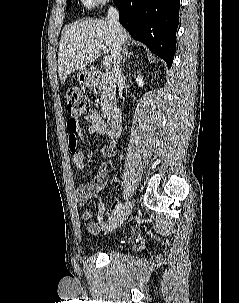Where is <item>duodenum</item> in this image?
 <instances>
[{
    "instance_id": "410a0bca",
    "label": "duodenum",
    "mask_w": 239,
    "mask_h": 303,
    "mask_svg": "<svg viewBox=\"0 0 239 303\" xmlns=\"http://www.w3.org/2000/svg\"><path fill=\"white\" fill-rule=\"evenodd\" d=\"M89 77L91 80L102 86L112 85L116 82V76L112 72H93ZM105 126L111 137L115 138L119 136L122 131V116L117 109H112L108 113Z\"/></svg>"
}]
</instances>
